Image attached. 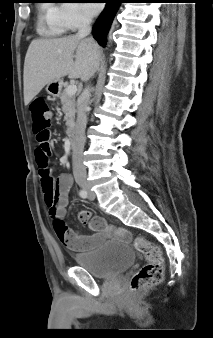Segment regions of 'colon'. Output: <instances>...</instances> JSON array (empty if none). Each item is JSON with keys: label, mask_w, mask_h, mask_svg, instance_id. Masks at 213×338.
Listing matches in <instances>:
<instances>
[{"label": "colon", "mask_w": 213, "mask_h": 338, "mask_svg": "<svg viewBox=\"0 0 213 338\" xmlns=\"http://www.w3.org/2000/svg\"><path fill=\"white\" fill-rule=\"evenodd\" d=\"M30 110L34 118L33 130L38 143H46L50 137V126L52 116L46 102L41 99H35ZM38 171L41 178V187L45 205L48 214L58 231H65L59 219H57L55 182L51 174L49 156L43 154L39 149L35 152ZM103 224L95 221L92 224L93 229H100ZM133 246L141 253L143 264L140 269L131 278V289L139 290L145 287H153L158 285L164 277V259L161 249L156 244L148 241L142 236H138L132 241Z\"/></svg>", "instance_id": "1"}]
</instances>
